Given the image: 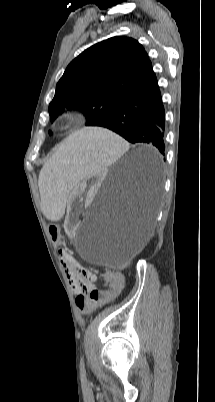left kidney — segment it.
I'll use <instances>...</instances> for the list:
<instances>
[{
  "label": "left kidney",
  "mask_w": 215,
  "mask_h": 402,
  "mask_svg": "<svg viewBox=\"0 0 215 402\" xmlns=\"http://www.w3.org/2000/svg\"><path fill=\"white\" fill-rule=\"evenodd\" d=\"M105 175L106 172L104 169H97L93 175H86L85 178L82 179V184L75 186L74 191H71L69 197L68 216H71L72 219L80 218L83 210L82 199L84 203H89V200L94 199V193L99 192L98 184L102 183ZM63 227L66 229L68 236H73L78 227V222L77 220H65Z\"/></svg>",
  "instance_id": "obj_1"
}]
</instances>
